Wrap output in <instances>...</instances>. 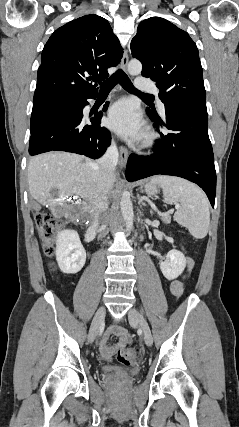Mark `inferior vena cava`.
Segmentation results:
<instances>
[{
    "instance_id": "inferior-vena-cava-1",
    "label": "inferior vena cava",
    "mask_w": 239,
    "mask_h": 427,
    "mask_svg": "<svg viewBox=\"0 0 239 427\" xmlns=\"http://www.w3.org/2000/svg\"><path fill=\"white\" fill-rule=\"evenodd\" d=\"M118 150L114 142L107 148L105 154L98 160V167L103 177L102 194L97 201L96 208L97 213L94 220V225L97 227L100 223L104 222V218L107 214L108 201H107V179L110 174L114 172L115 166L118 162Z\"/></svg>"
}]
</instances>
